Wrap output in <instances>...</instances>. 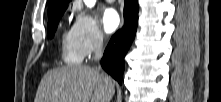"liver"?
Segmentation results:
<instances>
[{
  "label": "liver",
  "instance_id": "obj_1",
  "mask_svg": "<svg viewBox=\"0 0 221 102\" xmlns=\"http://www.w3.org/2000/svg\"><path fill=\"white\" fill-rule=\"evenodd\" d=\"M111 78L90 66H66L48 71L34 102H110L114 95Z\"/></svg>",
  "mask_w": 221,
  "mask_h": 102
}]
</instances>
